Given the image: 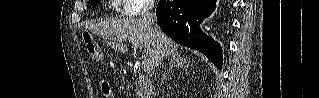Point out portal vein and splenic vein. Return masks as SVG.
Wrapping results in <instances>:
<instances>
[{"mask_svg":"<svg viewBox=\"0 0 319 98\" xmlns=\"http://www.w3.org/2000/svg\"><path fill=\"white\" fill-rule=\"evenodd\" d=\"M130 42H131V44L133 45L134 48H139V42H136V41H133V40H131ZM142 69L145 72L151 71L153 69L152 61L150 59H144L143 62H142Z\"/></svg>","mask_w":319,"mask_h":98,"instance_id":"1","label":"portal vein and splenic vein"}]
</instances>
